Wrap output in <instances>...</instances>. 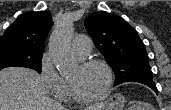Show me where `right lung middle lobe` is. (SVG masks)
<instances>
[{"mask_svg":"<svg viewBox=\"0 0 171 110\" xmlns=\"http://www.w3.org/2000/svg\"><path fill=\"white\" fill-rule=\"evenodd\" d=\"M43 52H34L14 44H0V70L11 66L32 68L39 73L42 69Z\"/></svg>","mask_w":171,"mask_h":110,"instance_id":"obj_1","label":"right lung middle lobe"}]
</instances>
